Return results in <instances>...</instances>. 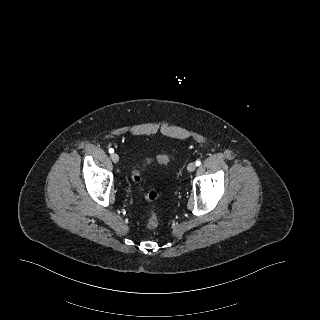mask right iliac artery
<instances>
[{"label": "right iliac artery", "mask_w": 320, "mask_h": 320, "mask_svg": "<svg viewBox=\"0 0 320 320\" xmlns=\"http://www.w3.org/2000/svg\"><path fill=\"white\" fill-rule=\"evenodd\" d=\"M113 152H114V150H113L112 148H110V149H109V153L112 154Z\"/></svg>", "instance_id": "1"}]
</instances>
